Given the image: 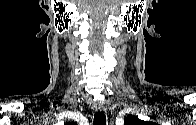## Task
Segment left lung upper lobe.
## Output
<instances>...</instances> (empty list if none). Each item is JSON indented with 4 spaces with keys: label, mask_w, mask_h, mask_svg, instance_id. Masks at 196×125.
Segmentation results:
<instances>
[{
    "label": "left lung upper lobe",
    "mask_w": 196,
    "mask_h": 125,
    "mask_svg": "<svg viewBox=\"0 0 196 125\" xmlns=\"http://www.w3.org/2000/svg\"><path fill=\"white\" fill-rule=\"evenodd\" d=\"M143 124H145V121L138 119V117L136 116H129L125 120V125H143Z\"/></svg>",
    "instance_id": "obj_1"
}]
</instances>
